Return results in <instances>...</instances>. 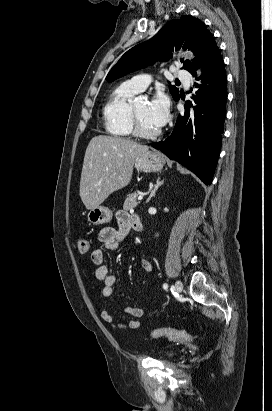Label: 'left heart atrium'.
I'll return each instance as SVG.
<instances>
[{
    "mask_svg": "<svg viewBox=\"0 0 272 411\" xmlns=\"http://www.w3.org/2000/svg\"><path fill=\"white\" fill-rule=\"evenodd\" d=\"M169 100L163 93L156 94L148 104L147 115L157 128L163 126L168 119Z\"/></svg>",
    "mask_w": 272,
    "mask_h": 411,
    "instance_id": "1",
    "label": "left heart atrium"
}]
</instances>
